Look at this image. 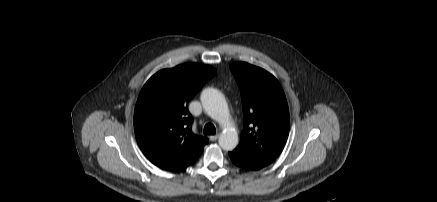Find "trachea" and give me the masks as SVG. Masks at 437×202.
Instances as JSON below:
<instances>
[{
    "label": "trachea",
    "instance_id": "3493384b",
    "mask_svg": "<svg viewBox=\"0 0 437 202\" xmlns=\"http://www.w3.org/2000/svg\"><path fill=\"white\" fill-rule=\"evenodd\" d=\"M203 133L206 135H214L216 133V128L212 123H207L204 126Z\"/></svg>",
    "mask_w": 437,
    "mask_h": 202
}]
</instances>
